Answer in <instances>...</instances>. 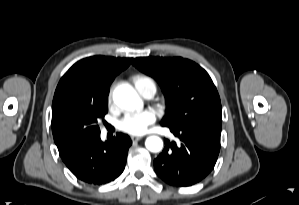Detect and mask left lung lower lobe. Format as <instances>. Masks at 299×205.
I'll use <instances>...</instances> for the list:
<instances>
[{
    "label": "left lung lower lobe",
    "mask_w": 299,
    "mask_h": 205,
    "mask_svg": "<svg viewBox=\"0 0 299 205\" xmlns=\"http://www.w3.org/2000/svg\"><path fill=\"white\" fill-rule=\"evenodd\" d=\"M221 120L168 127L181 145L168 140L154 160L157 175L170 185L186 187L204 179L214 168L220 151Z\"/></svg>",
    "instance_id": "0a47b994"
}]
</instances>
